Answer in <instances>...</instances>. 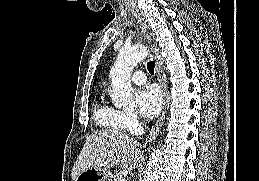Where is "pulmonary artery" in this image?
I'll return each mask as SVG.
<instances>
[{
	"instance_id": "pulmonary-artery-1",
	"label": "pulmonary artery",
	"mask_w": 259,
	"mask_h": 181,
	"mask_svg": "<svg viewBox=\"0 0 259 181\" xmlns=\"http://www.w3.org/2000/svg\"><path fill=\"white\" fill-rule=\"evenodd\" d=\"M131 80L134 84L142 85L146 82V77L144 72L137 71L132 75Z\"/></svg>"
}]
</instances>
